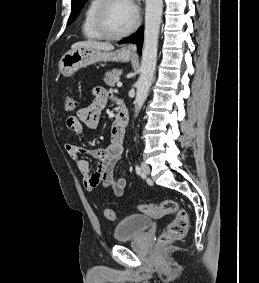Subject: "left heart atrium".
<instances>
[{
    "label": "left heart atrium",
    "instance_id": "1",
    "mask_svg": "<svg viewBox=\"0 0 259 283\" xmlns=\"http://www.w3.org/2000/svg\"><path fill=\"white\" fill-rule=\"evenodd\" d=\"M128 5L133 9L135 10L136 8V1L135 0H126Z\"/></svg>",
    "mask_w": 259,
    "mask_h": 283
}]
</instances>
